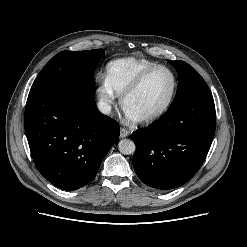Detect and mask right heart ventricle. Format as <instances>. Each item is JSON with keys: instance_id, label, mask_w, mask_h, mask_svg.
Instances as JSON below:
<instances>
[{"instance_id": "obj_1", "label": "right heart ventricle", "mask_w": 247, "mask_h": 247, "mask_svg": "<svg viewBox=\"0 0 247 247\" xmlns=\"http://www.w3.org/2000/svg\"><path fill=\"white\" fill-rule=\"evenodd\" d=\"M155 65L151 61L134 57L115 59L106 66V78L116 94L121 95L140 73Z\"/></svg>"}]
</instances>
